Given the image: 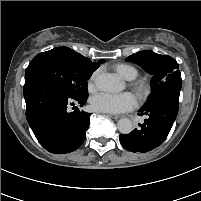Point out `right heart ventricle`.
<instances>
[{
  "label": "right heart ventricle",
  "instance_id": "e07e8e85",
  "mask_svg": "<svg viewBox=\"0 0 201 201\" xmlns=\"http://www.w3.org/2000/svg\"><path fill=\"white\" fill-rule=\"evenodd\" d=\"M114 69L117 74L128 81L134 80L138 76L137 68L130 64L120 63L117 64Z\"/></svg>",
  "mask_w": 201,
  "mask_h": 201
}]
</instances>
